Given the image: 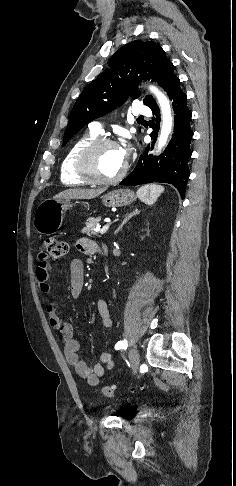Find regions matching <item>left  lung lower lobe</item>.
I'll return each mask as SVG.
<instances>
[{
    "mask_svg": "<svg viewBox=\"0 0 236 486\" xmlns=\"http://www.w3.org/2000/svg\"><path fill=\"white\" fill-rule=\"evenodd\" d=\"M164 90L173 100L174 109V133L166 150L159 157L148 155L149 146L140 156L138 165L120 183L121 185H140L152 182L169 183L175 186L181 197L184 198L187 180L190 172L188 160L191 157L190 142L193 132L190 128L191 112L187 107L186 94L180 88V80L177 77L171 79ZM148 107L152 110L155 117L152 121L160 122V111L153 100ZM153 132L151 137H156L158 126L152 125ZM153 149V146L152 148Z\"/></svg>",
    "mask_w": 236,
    "mask_h": 486,
    "instance_id": "1",
    "label": "left lung lower lobe"
}]
</instances>
